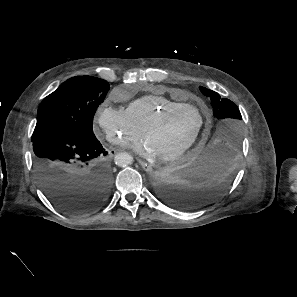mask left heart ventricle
I'll return each mask as SVG.
<instances>
[{
	"label": "left heart ventricle",
	"instance_id": "1",
	"mask_svg": "<svg viewBox=\"0 0 297 297\" xmlns=\"http://www.w3.org/2000/svg\"><path fill=\"white\" fill-rule=\"evenodd\" d=\"M199 120V114L195 110L182 109L151 129L145 139L153 146L158 156L171 153L192 137Z\"/></svg>",
	"mask_w": 297,
	"mask_h": 297
}]
</instances>
